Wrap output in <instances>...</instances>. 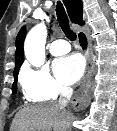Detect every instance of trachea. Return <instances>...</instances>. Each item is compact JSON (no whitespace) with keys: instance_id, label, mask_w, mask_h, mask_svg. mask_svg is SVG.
Segmentation results:
<instances>
[{"instance_id":"3493384b","label":"trachea","mask_w":117,"mask_h":131,"mask_svg":"<svg viewBox=\"0 0 117 131\" xmlns=\"http://www.w3.org/2000/svg\"><path fill=\"white\" fill-rule=\"evenodd\" d=\"M56 14H57L59 25L63 30V32L65 33L66 37L71 41L76 40V34L70 28L65 10L59 1L57 3Z\"/></svg>"}]
</instances>
